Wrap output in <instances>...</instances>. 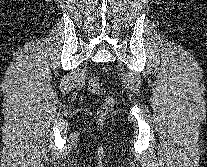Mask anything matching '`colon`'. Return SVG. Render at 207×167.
Returning a JSON list of instances; mask_svg holds the SVG:
<instances>
[{
	"mask_svg": "<svg viewBox=\"0 0 207 167\" xmlns=\"http://www.w3.org/2000/svg\"><path fill=\"white\" fill-rule=\"evenodd\" d=\"M88 89L95 95H104L105 88L102 86L101 81L98 77H93L88 82ZM114 106V99L111 96H106L103 103L99 106L98 112L100 114H106L112 110Z\"/></svg>",
	"mask_w": 207,
	"mask_h": 167,
	"instance_id": "1",
	"label": "colon"
}]
</instances>
